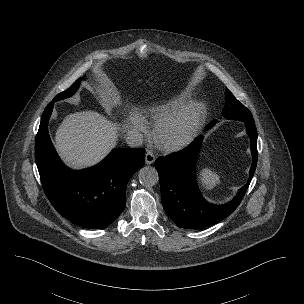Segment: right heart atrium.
<instances>
[{
    "label": "right heart atrium",
    "mask_w": 304,
    "mask_h": 304,
    "mask_svg": "<svg viewBox=\"0 0 304 304\" xmlns=\"http://www.w3.org/2000/svg\"><path fill=\"white\" fill-rule=\"evenodd\" d=\"M133 129L136 131V132H146L147 131V126H146V123L144 122L143 119L141 118H135L133 120Z\"/></svg>",
    "instance_id": "1"
}]
</instances>
